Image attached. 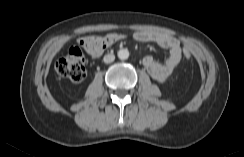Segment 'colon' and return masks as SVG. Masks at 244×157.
Here are the masks:
<instances>
[{
    "instance_id": "colon-1",
    "label": "colon",
    "mask_w": 244,
    "mask_h": 157,
    "mask_svg": "<svg viewBox=\"0 0 244 157\" xmlns=\"http://www.w3.org/2000/svg\"><path fill=\"white\" fill-rule=\"evenodd\" d=\"M117 41L116 33L106 36H93V43L98 47H109ZM182 54L186 60L191 58V52L188 48H184ZM55 68L60 76L74 82H80L86 77L85 57L78 47H71L67 55L56 62Z\"/></svg>"
}]
</instances>
